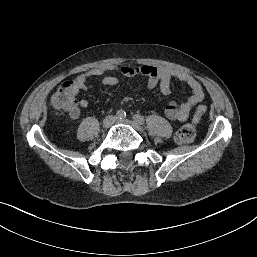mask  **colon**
I'll return each mask as SVG.
<instances>
[{
    "label": "colon",
    "mask_w": 257,
    "mask_h": 257,
    "mask_svg": "<svg viewBox=\"0 0 257 257\" xmlns=\"http://www.w3.org/2000/svg\"><path fill=\"white\" fill-rule=\"evenodd\" d=\"M53 105L57 109L74 112L77 109V100L72 91V83L66 81L62 83L52 98ZM196 126L193 123L183 125L175 135V140L180 144L191 143L196 137Z\"/></svg>",
    "instance_id": "5ec220e1"
}]
</instances>
